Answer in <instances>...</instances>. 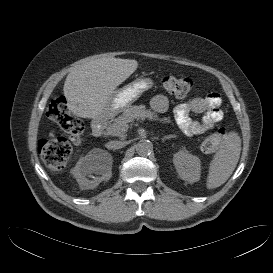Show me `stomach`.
Returning <instances> with one entry per match:
<instances>
[{
  "instance_id": "0dacf381",
  "label": "stomach",
  "mask_w": 273,
  "mask_h": 273,
  "mask_svg": "<svg viewBox=\"0 0 273 273\" xmlns=\"http://www.w3.org/2000/svg\"><path fill=\"white\" fill-rule=\"evenodd\" d=\"M153 86L150 78H138L116 90L111 97L110 105L113 114L122 111L134 103L145 91Z\"/></svg>"
}]
</instances>
